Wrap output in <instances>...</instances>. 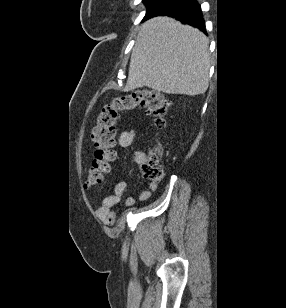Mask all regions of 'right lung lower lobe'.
Returning <instances> with one entry per match:
<instances>
[{
	"label": "right lung lower lobe",
	"mask_w": 286,
	"mask_h": 308,
	"mask_svg": "<svg viewBox=\"0 0 286 308\" xmlns=\"http://www.w3.org/2000/svg\"><path fill=\"white\" fill-rule=\"evenodd\" d=\"M161 15L174 17L175 19L188 25L195 26L206 33L201 8L196 0H172L162 9L147 14L144 17V20Z\"/></svg>",
	"instance_id": "1"
}]
</instances>
